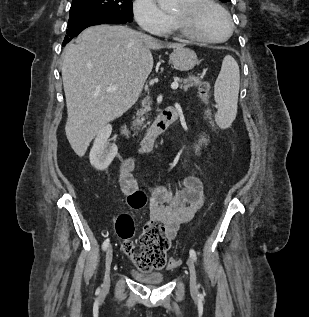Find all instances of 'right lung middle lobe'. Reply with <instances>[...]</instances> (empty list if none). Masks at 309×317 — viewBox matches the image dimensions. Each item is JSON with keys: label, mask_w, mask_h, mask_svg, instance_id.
Masks as SVG:
<instances>
[{"label": "right lung middle lobe", "mask_w": 309, "mask_h": 317, "mask_svg": "<svg viewBox=\"0 0 309 317\" xmlns=\"http://www.w3.org/2000/svg\"><path fill=\"white\" fill-rule=\"evenodd\" d=\"M83 14L108 15L131 22L132 0H73L70 17Z\"/></svg>", "instance_id": "right-lung-middle-lobe-1"}]
</instances>
